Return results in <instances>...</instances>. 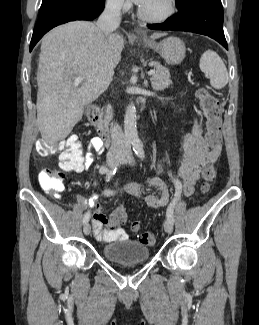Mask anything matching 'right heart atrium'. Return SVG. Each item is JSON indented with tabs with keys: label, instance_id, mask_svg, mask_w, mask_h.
Instances as JSON below:
<instances>
[{
	"label": "right heart atrium",
	"instance_id": "right-heart-atrium-1",
	"mask_svg": "<svg viewBox=\"0 0 259 325\" xmlns=\"http://www.w3.org/2000/svg\"><path fill=\"white\" fill-rule=\"evenodd\" d=\"M106 5L113 11H125L129 8L128 0H106Z\"/></svg>",
	"mask_w": 259,
	"mask_h": 325
}]
</instances>
